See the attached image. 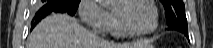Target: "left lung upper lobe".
<instances>
[{
	"label": "left lung upper lobe",
	"mask_w": 213,
	"mask_h": 48,
	"mask_svg": "<svg viewBox=\"0 0 213 48\" xmlns=\"http://www.w3.org/2000/svg\"><path fill=\"white\" fill-rule=\"evenodd\" d=\"M163 3L168 24L187 27L185 7L182 0H160Z\"/></svg>",
	"instance_id": "5c2ea615"
}]
</instances>
